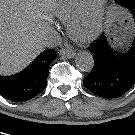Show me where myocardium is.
<instances>
[{"label":"myocardium","instance_id":"f54148a6","mask_svg":"<svg viewBox=\"0 0 135 135\" xmlns=\"http://www.w3.org/2000/svg\"><path fill=\"white\" fill-rule=\"evenodd\" d=\"M107 0H85L81 10L67 24L70 37L78 43L94 41L102 32ZM89 24L90 30L84 36L77 34V29L83 24Z\"/></svg>","mask_w":135,"mask_h":135}]
</instances>
